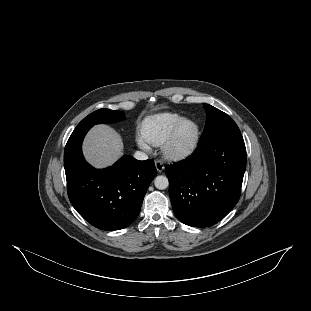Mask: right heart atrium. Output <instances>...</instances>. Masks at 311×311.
I'll use <instances>...</instances> for the list:
<instances>
[{
    "label": "right heart atrium",
    "mask_w": 311,
    "mask_h": 311,
    "mask_svg": "<svg viewBox=\"0 0 311 311\" xmlns=\"http://www.w3.org/2000/svg\"><path fill=\"white\" fill-rule=\"evenodd\" d=\"M138 145L142 148H146V145L141 140H138Z\"/></svg>",
    "instance_id": "right-heart-atrium-1"
}]
</instances>
